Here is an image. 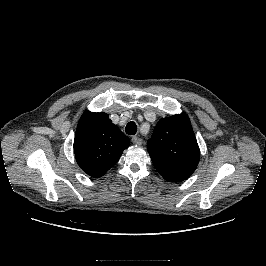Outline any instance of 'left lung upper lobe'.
I'll return each mask as SVG.
<instances>
[{"label":"left lung upper lobe","instance_id":"5c2ea615","mask_svg":"<svg viewBox=\"0 0 266 266\" xmlns=\"http://www.w3.org/2000/svg\"><path fill=\"white\" fill-rule=\"evenodd\" d=\"M147 150L165 180L188 179L199 163L200 150L187 114L161 118L147 142Z\"/></svg>","mask_w":266,"mask_h":266}]
</instances>
